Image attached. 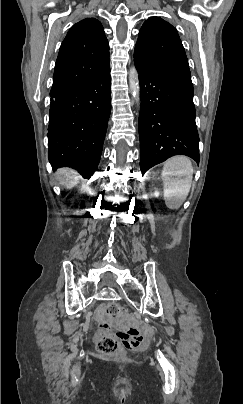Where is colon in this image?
Returning a JSON list of instances; mask_svg holds the SVG:
<instances>
[{
    "instance_id": "5ec220e1",
    "label": "colon",
    "mask_w": 243,
    "mask_h": 404,
    "mask_svg": "<svg viewBox=\"0 0 243 404\" xmlns=\"http://www.w3.org/2000/svg\"><path fill=\"white\" fill-rule=\"evenodd\" d=\"M106 312L113 318L120 317L124 310L117 303H110ZM147 341L137 327H128L118 331H101L97 338L99 352L104 355H115L123 350L138 351L143 349Z\"/></svg>"
}]
</instances>
